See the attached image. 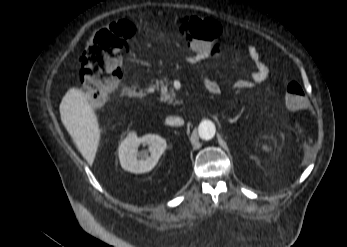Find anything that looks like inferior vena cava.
<instances>
[{
    "label": "inferior vena cava",
    "mask_w": 347,
    "mask_h": 247,
    "mask_svg": "<svg viewBox=\"0 0 347 247\" xmlns=\"http://www.w3.org/2000/svg\"><path fill=\"white\" fill-rule=\"evenodd\" d=\"M167 123L169 125H183L184 124V120L182 118L179 117H169L167 118Z\"/></svg>",
    "instance_id": "inferior-vena-cava-1"
}]
</instances>
